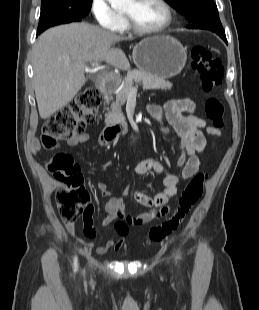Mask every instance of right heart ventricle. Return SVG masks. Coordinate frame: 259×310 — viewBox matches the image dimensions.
<instances>
[{"label": "right heart ventricle", "mask_w": 259, "mask_h": 310, "mask_svg": "<svg viewBox=\"0 0 259 310\" xmlns=\"http://www.w3.org/2000/svg\"><path fill=\"white\" fill-rule=\"evenodd\" d=\"M126 28H127V26H126V23H125V25H124L123 29H122V30H120V31H124V30H126Z\"/></svg>", "instance_id": "obj_1"}]
</instances>
